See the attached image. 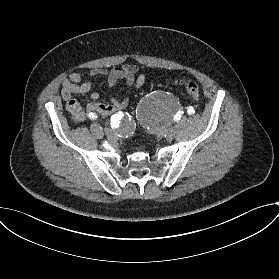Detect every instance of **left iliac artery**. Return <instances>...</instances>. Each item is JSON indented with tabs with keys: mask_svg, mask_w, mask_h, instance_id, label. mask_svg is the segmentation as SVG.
I'll return each mask as SVG.
<instances>
[{
	"mask_svg": "<svg viewBox=\"0 0 279 279\" xmlns=\"http://www.w3.org/2000/svg\"><path fill=\"white\" fill-rule=\"evenodd\" d=\"M187 113L188 114H194L195 113V110H194V108L193 107H191V106H189L188 108H187Z\"/></svg>",
	"mask_w": 279,
	"mask_h": 279,
	"instance_id": "1",
	"label": "left iliac artery"
}]
</instances>
